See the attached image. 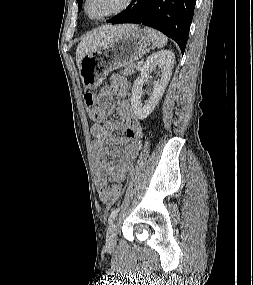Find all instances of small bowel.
<instances>
[{
    "label": "small bowel",
    "mask_w": 253,
    "mask_h": 285,
    "mask_svg": "<svg viewBox=\"0 0 253 285\" xmlns=\"http://www.w3.org/2000/svg\"><path fill=\"white\" fill-rule=\"evenodd\" d=\"M128 94L129 82L120 75H114L98 95L95 106L89 110L94 120L90 130L95 138L97 154L96 188L100 200L108 205L115 203L121 195L115 192V184L110 183L124 180L141 148L142 127L132 110ZM114 97L120 99L116 108L120 123L107 119V110L112 107ZM117 130L124 136L117 137Z\"/></svg>",
    "instance_id": "1"
}]
</instances>
